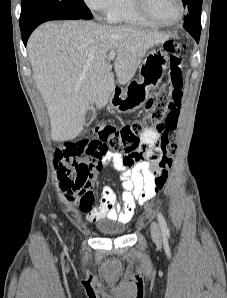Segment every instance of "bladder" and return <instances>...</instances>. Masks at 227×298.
Instances as JSON below:
<instances>
[{"label":"bladder","mask_w":227,"mask_h":298,"mask_svg":"<svg viewBox=\"0 0 227 298\" xmlns=\"http://www.w3.org/2000/svg\"><path fill=\"white\" fill-rule=\"evenodd\" d=\"M97 229L105 236H120L126 233L127 226L119 222L103 221L97 224Z\"/></svg>","instance_id":"obj_1"}]
</instances>
